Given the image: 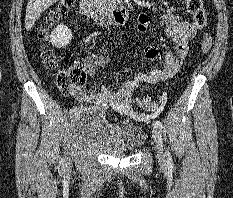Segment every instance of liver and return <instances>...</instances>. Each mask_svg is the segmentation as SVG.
Returning a JSON list of instances; mask_svg holds the SVG:
<instances>
[{
	"instance_id": "liver-1",
	"label": "liver",
	"mask_w": 233,
	"mask_h": 198,
	"mask_svg": "<svg viewBox=\"0 0 233 198\" xmlns=\"http://www.w3.org/2000/svg\"><path fill=\"white\" fill-rule=\"evenodd\" d=\"M58 0H29L25 15V28L29 31L41 14Z\"/></svg>"
}]
</instances>
